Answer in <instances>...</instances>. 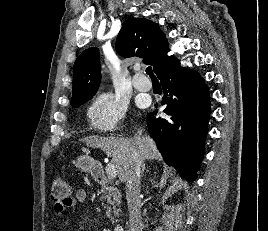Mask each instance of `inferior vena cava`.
<instances>
[{"label":"inferior vena cava","instance_id":"obj_1","mask_svg":"<svg viewBox=\"0 0 268 231\" xmlns=\"http://www.w3.org/2000/svg\"><path fill=\"white\" fill-rule=\"evenodd\" d=\"M143 160L136 150L132 151L131 163L125 172L126 199L129 211V231H142L140 201V170Z\"/></svg>","mask_w":268,"mask_h":231}]
</instances>
